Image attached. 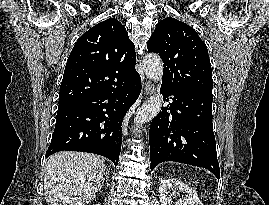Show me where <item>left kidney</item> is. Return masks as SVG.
Here are the masks:
<instances>
[{
    "label": "left kidney",
    "mask_w": 269,
    "mask_h": 205,
    "mask_svg": "<svg viewBox=\"0 0 269 205\" xmlns=\"http://www.w3.org/2000/svg\"><path fill=\"white\" fill-rule=\"evenodd\" d=\"M183 193V198L177 202V205H203L196 192L187 184L176 179H164L159 185V199L161 205H172L170 194Z\"/></svg>",
    "instance_id": "5707ae66"
}]
</instances>
